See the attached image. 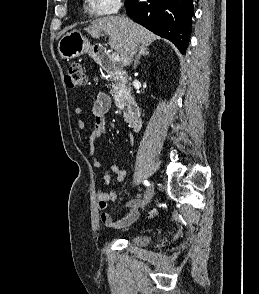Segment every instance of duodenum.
Wrapping results in <instances>:
<instances>
[{
  "label": "duodenum",
  "mask_w": 259,
  "mask_h": 294,
  "mask_svg": "<svg viewBox=\"0 0 259 294\" xmlns=\"http://www.w3.org/2000/svg\"><path fill=\"white\" fill-rule=\"evenodd\" d=\"M95 58L102 66V68L111 74L116 75L119 78H125L126 72L119 69L117 65L111 60L110 56L102 50L94 53ZM124 117L130 123L134 130H138L141 127L142 119L139 107L132 95L126 96L125 107H124Z\"/></svg>",
  "instance_id": "obj_1"
}]
</instances>
